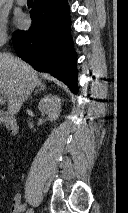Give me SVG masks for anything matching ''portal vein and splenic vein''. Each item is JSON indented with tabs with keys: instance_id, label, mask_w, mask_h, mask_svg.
I'll list each match as a JSON object with an SVG mask.
<instances>
[{
	"instance_id": "1",
	"label": "portal vein and splenic vein",
	"mask_w": 128,
	"mask_h": 213,
	"mask_svg": "<svg viewBox=\"0 0 128 213\" xmlns=\"http://www.w3.org/2000/svg\"><path fill=\"white\" fill-rule=\"evenodd\" d=\"M6 102V99L3 95H0V103L3 104Z\"/></svg>"
}]
</instances>
